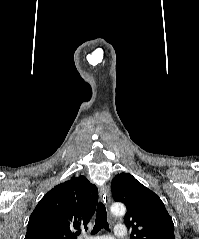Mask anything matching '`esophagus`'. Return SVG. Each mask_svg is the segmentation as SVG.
<instances>
[{
  "label": "esophagus",
  "instance_id": "esophagus-1",
  "mask_svg": "<svg viewBox=\"0 0 199 239\" xmlns=\"http://www.w3.org/2000/svg\"><path fill=\"white\" fill-rule=\"evenodd\" d=\"M99 196L102 202L109 208L110 205V190L107 185H104L99 190Z\"/></svg>",
  "mask_w": 199,
  "mask_h": 239
}]
</instances>
